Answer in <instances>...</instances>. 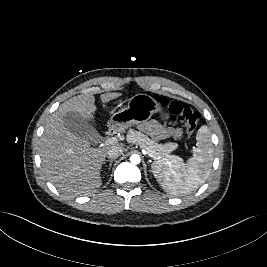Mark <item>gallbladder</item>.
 Listing matches in <instances>:
<instances>
[{"label": "gallbladder", "instance_id": "gallbladder-1", "mask_svg": "<svg viewBox=\"0 0 267 267\" xmlns=\"http://www.w3.org/2000/svg\"><path fill=\"white\" fill-rule=\"evenodd\" d=\"M64 125L79 138L86 139L91 143L100 139L98 131L79 113L68 112L64 115Z\"/></svg>", "mask_w": 267, "mask_h": 267}]
</instances>
